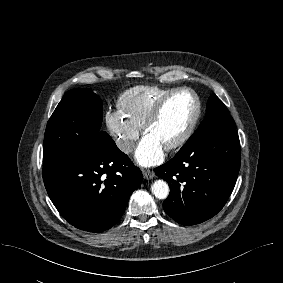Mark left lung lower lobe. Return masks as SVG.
<instances>
[{
	"label": "left lung lower lobe",
	"instance_id": "1",
	"mask_svg": "<svg viewBox=\"0 0 283 283\" xmlns=\"http://www.w3.org/2000/svg\"><path fill=\"white\" fill-rule=\"evenodd\" d=\"M239 169L240 142L236 130L186 142L169 162L154 169L170 186L164 211L188 226L210 219L227 202Z\"/></svg>",
	"mask_w": 283,
	"mask_h": 283
}]
</instances>
